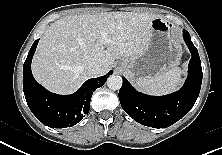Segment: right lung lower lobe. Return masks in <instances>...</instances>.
I'll return each mask as SVG.
<instances>
[{"label":"right lung lower lobe","mask_w":222,"mask_h":155,"mask_svg":"<svg viewBox=\"0 0 222 155\" xmlns=\"http://www.w3.org/2000/svg\"><path fill=\"white\" fill-rule=\"evenodd\" d=\"M38 41L39 39L33 43L23 66V91L27 104L32 113L46 126H74L88 114L93 91L101 87L113 72L87 80L72 95L53 94L38 84L31 72V61Z\"/></svg>","instance_id":"98d812e1"}]
</instances>
